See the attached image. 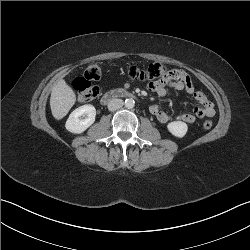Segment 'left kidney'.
I'll return each instance as SVG.
<instances>
[{
  "label": "left kidney",
  "instance_id": "1",
  "mask_svg": "<svg viewBox=\"0 0 250 250\" xmlns=\"http://www.w3.org/2000/svg\"><path fill=\"white\" fill-rule=\"evenodd\" d=\"M167 129L175 137L182 138L186 135L188 126L182 121H173L168 123Z\"/></svg>",
  "mask_w": 250,
  "mask_h": 250
}]
</instances>
